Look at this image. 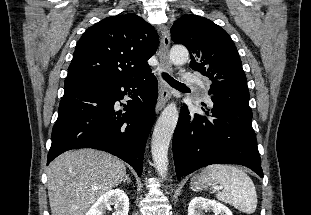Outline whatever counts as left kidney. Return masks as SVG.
Listing matches in <instances>:
<instances>
[{
  "label": "left kidney",
  "mask_w": 311,
  "mask_h": 215,
  "mask_svg": "<svg viewBox=\"0 0 311 215\" xmlns=\"http://www.w3.org/2000/svg\"><path fill=\"white\" fill-rule=\"evenodd\" d=\"M204 211L213 212L214 215H233L228 207L214 200L195 197L190 201L188 215H203Z\"/></svg>",
  "instance_id": "obj_1"
}]
</instances>
